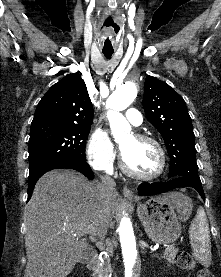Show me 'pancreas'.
<instances>
[{"label": "pancreas", "instance_id": "pancreas-1", "mask_svg": "<svg viewBox=\"0 0 221 277\" xmlns=\"http://www.w3.org/2000/svg\"><path fill=\"white\" fill-rule=\"evenodd\" d=\"M112 247V245H110ZM178 253V249L172 248L171 250L165 251L163 254V258H165L168 262V266L174 264L175 257ZM111 267L109 262H105L103 266L98 269V277H110Z\"/></svg>", "mask_w": 221, "mask_h": 277}]
</instances>
